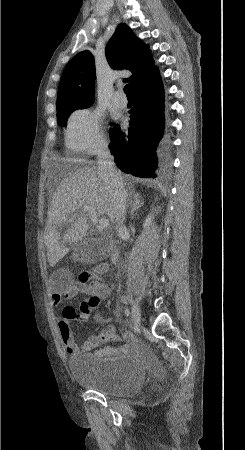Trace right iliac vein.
Returning <instances> with one entry per match:
<instances>
[{
	"mask_svg": "<svg viewBox=\"0 0 245 450\" xmlns=\"http://www.w3.org/2000/svg\"><path fill=\"white\" fill-rule=\"evenodd\" d=\"M131 316H132L133 323L135 325H138L140 323L141 313H140V308H139L138 304L135 302L132 304Z\"/></svg>",
	"mask_w": 245,
	"mask_h": 450,
	"instance_id": "right-iliac-vein-1",
	"label": "right iliac vein"
}]
</instances>
